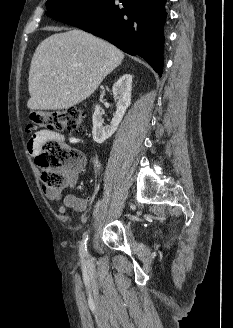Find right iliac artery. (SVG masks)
<instances>
[{
	"label": "right iliac artery",
	"instance_id": "82829eb1",
	"mask_svg": "<svg viewBox=\"0 0 233 328\" xmlns=\"http://www.w3.org/2000/svg\"><path fill=\"white\" fill-rule=\"evenodd\" d=\"M99 205H100V201L96 204V208L94 210V213L97 212ZM87 239H88V236L85 235V237L83 238V240L80 244V250H79L80 251V256L83 257V258L84 257L88 258V256H89L88 251H87V245H86Z\"/></svg>",
	"mask_w": 233,
	"mask_h": 328
}]
</instances>
